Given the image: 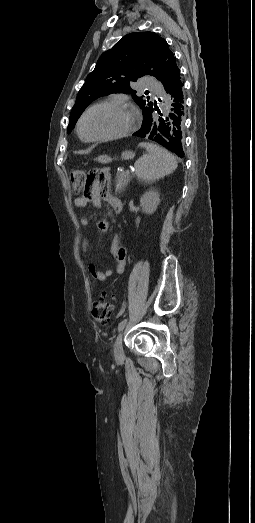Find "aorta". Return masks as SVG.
Segmentation results:
<instances>
[{
	"mask_svg": "<svg viewBox=\"0 0 255 523\" xmlns=\"http://www.w3.org/2000/svg\"><path fill=\"white\" fill-rule=\"evenodd\" d=\"M165 106H166L167 109L170 108V100H169V98L165 99Z\"/></svg>",
	"mask_w": 255,
	"mask_h": 523,
	"instance_id": "762f6f07",
	"label": "aorta"
}]
</instances>
